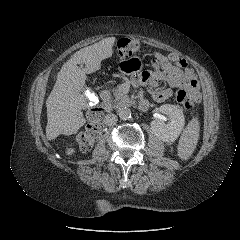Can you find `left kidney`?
Instances as JSON below:
<instances>
[{
    "instance_id": "left-kidney-1",
    "label": "left kidney",
    "mask_w": 240,
    "mask_h": 240,
    "mask_svg": "<svg viewBox=\"0 0 240 240\" xmlns=\"http://www.w3.org/2000/svg\"><path fill=\"white\" fill-rule=\"evenodd\" d=\"M159 111L167 115L170 120L168 123L160 119L151 121L150 126L153 133L164 142L175 141L183 130L185 118L183 112L175 105H161Z\"/></svg>"
}]
</instances>
